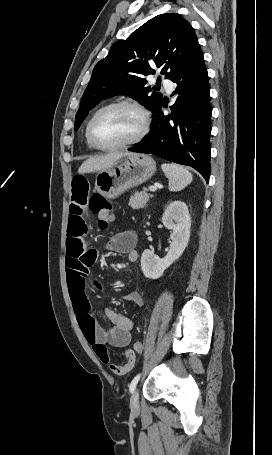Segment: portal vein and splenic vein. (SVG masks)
<instances>
[{"label":"portal vein and splenic vein","mask_w":272,"mask_h":455,"mask_svg":"<svg viewBox=\"0 0 272 455\" xmlns=\"http://www.w3.org/2000/svg\"><path fill=\"white\" fill-rule=\"evenodd\" d=\"M157 190V187L156 186H150V191L151 192H155Z\"/></svg>","instance_id":"1"}]
</instances>
